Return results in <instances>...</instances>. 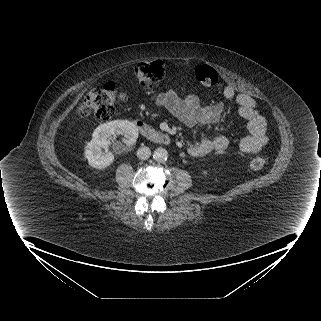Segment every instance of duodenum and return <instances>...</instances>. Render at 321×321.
I'll use <instances>...</instances> for the list:
<instances>
[{
	"instance_id": "duodenum-1",
	"label": "duodenum",
	"mask_w": 321,
	"mask_h": 321,
	"mask_svg": "<svg viewBox=\"0 0 321 321\" xmlns=\"http://www.w3.org/2000/svg\"><path fill=\"white\" fill-rule=\"evenodd\" d=\"M133 123L135 128L140 132V134L149 139L150 141L161 145L170 144V137L168 134L156 130L155 128H153L141 119H136Z\"/></svg>"
}]
</instances>
